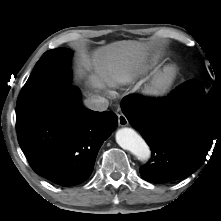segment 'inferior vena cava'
Wrapping results in <instances>:
<instances>
[{
	"instance_id": "602c4592",
	"label": "inferior vena cava",
	"mask_w": 221,
	"mask_h": 221,
	"mask_svg": "<svg viewBox=\"0 0 221 221\" xmlns=\"http://www.w3.org/2000/svg\"><path fill=\"white\" fill-rule=\"evenodd\" d=\"M109 105V101L101 96L94 95L88 99L85 100V106L88 109L94 110V111H105L107 110Z\"/></svg>"
}]
</instances>
